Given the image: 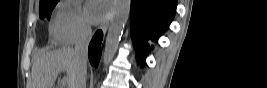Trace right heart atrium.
Returning a JSON list of instances; mask_svg holds the SVG:
<instances>
[{"label":"right heart atrium","mask_w":267,"mask_h":88,"mask_svg":"<svg viewBox=\"0 0 267 88\" xmlns=\"http://www.w3.org/2000/svg\"><path fill=\"white\" fill-rule=\"evenodd\" d=\"M90 25L76 1L60 2L51 25V35L60 44H73L90 34Z\"/></svg>","instance_id":"obj_1"}]
</instances>
